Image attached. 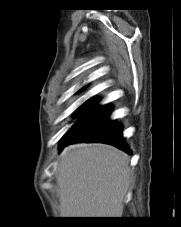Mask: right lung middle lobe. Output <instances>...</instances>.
Returning <instances> with one entry per match:
<instances>
[{
	"label": "right lung middle lobe",
	"mask_w": 181,
	"mask_h": 227,
	"mask_svg": "<svg viewBox=\"0 0 181 227\" xmlns=\"http://www.w3.org/2000/svg\"><path fill=\"white\" fill-rule=\"evenodd\" d=\"M96 104L97 102H92L90 104L84 105L79 115L77 116L78 120L76 121V123L95 114L96 112L103 108V106Z\"/></svg>",
	"instance_id": "dd1d6c3e"
}]
</instances>
